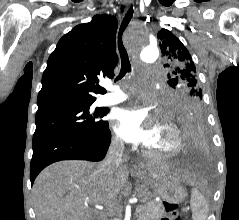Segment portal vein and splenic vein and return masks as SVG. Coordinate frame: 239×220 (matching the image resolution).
<instances>
[{"mask_svg":"<svg viewBox=\"0 0 239 220\" xmlns=\"http://www.w3.org/2000/svg\"><path fill=\"white\" fill-rule=\"evenodd\" d=\"M142 209H144V205H140L139 207L136 208V212H140Z\"/></svg>","mask_w":239,"mask_h":220,"instance_id":"1","label":"portal vein and splenic vein"}]
</instances>
